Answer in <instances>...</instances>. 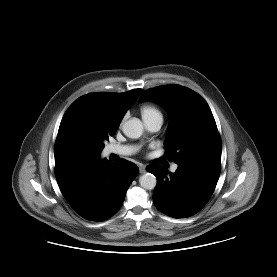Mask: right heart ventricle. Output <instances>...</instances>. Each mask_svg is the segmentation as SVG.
<instances>
[{"label": "right heart ventricle", "mask_w": 277, "mask_h": 277, "mask_svg": "<svg viewBox=\"0 0 277 277\" xmlns=\"http://www.w3.org/2000/svg\"><path fill=\"white\" fill-rule=\"evenodd\" d=\"M140 112L144 121L163 118L161 111L153 104H145L140 108Z\"/></svg>", "instance_id": "right-heart-ventricle-1"}]
</instances>
